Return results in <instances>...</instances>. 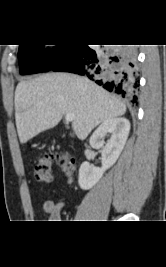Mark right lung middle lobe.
Returning <instances> with one entry per match:
<instances>
[{
    "mask_svg": "<svg viewBox=\"0 0 166 267\" xmlns=\"http://www.w3.org/2000/svg\"><path fill=\"white\" fill-rule=\"evenodd\" d=\"M69 48L70 45H57L46 50L43 45H19L20 73L25 75L51 70L64 58Z\"/></svg>",
    "mask_w": 166,
    "mask_h": 267,
    "instance_id": "obj_1",
    "label": "right lung middle lobe"
}]
</instances>
